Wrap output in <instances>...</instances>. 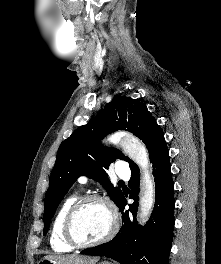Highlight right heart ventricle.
<instances>
[{
	"label": "right heart ventricle",
	"mask_w": 221,
	"mask_h": 264,
	"mask_svg": "<svg viewBox=\"0 0 221 264\" xmlns=\"http://www.w3.org/2000/svg\"><path fill=\"white\" fill-rule=\"evenodd\" d=\"M77 199V194H73L66 198L54 218L50 234V245L56 252H69L73 250V247L69 245L64 238L63 222L68 209Z\"/></svg>",
	"instance_id": "right-heart-ventricle-1"
}]
</instances>
